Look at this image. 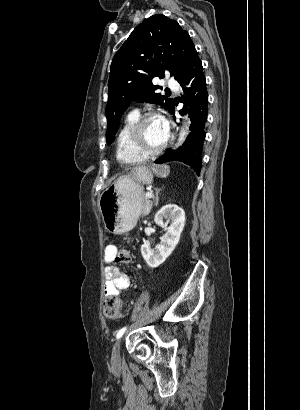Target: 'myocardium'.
Returning <instances> with one entry per match:
<instances>
[{"instance_id":"myocardium-1","label":"myocardium","mask_w":300,"mask_h":410,"mask_svg":"<svg viewBox=\"0 0 300 410\" xmlns=\"http://www.w3.org/2000/svg\"><path fill=\"white\" fill-rule=\"evenodd\" d=\"M153 118H158V115L155 113H146L144 115H141L134 123L130 133V140L132 146L135 148L136 151H138L146 157L161 153L163 150L166 149L171 139L170 134H168L165 142L161 146L156 148H150L146 146L143 138V128L146 122Z\"/></svg>"}]
</instances>
